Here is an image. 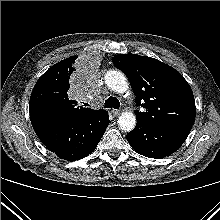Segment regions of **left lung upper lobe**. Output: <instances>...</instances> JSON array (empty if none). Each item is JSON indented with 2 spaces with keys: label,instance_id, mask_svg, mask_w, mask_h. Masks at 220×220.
<instances>
[{
  "label": "left lung upper lobe",
  "instance_id": "1",
  "mask_svg": "<svg viewBox=\"0 0 220 220\" xmlns=\"http://www.w3.org/2000/svg\"><path fill=\"white\" fill-rule=\"evenodd\" d=\"M112 62L128 77L137 105L146 109L135 111L137 120L194 124L193 92L177 70L157 59L131 53L115 55Z\"/></svg>",
  "mask_w": 220,
  "mask_h": 220
}]
</instances>
